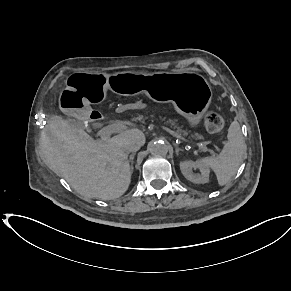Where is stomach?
Wrapping results in <instances>:
<instances>
[{
	"label": "stomach",
	"mask_w": 291,
	"mask_h": 291,
	"mask_svg": "<svg viewBox=\"0 0 291 291\" xmlns=\"http://www.w3.org/2000/svg\"><path fill=\"white\" fill-rule=\"evenodd\" d=\"M107 89L121 95L145 92L155 101L172 102L193 127L200 123L212 100L208 82L195 72L75 73L68 77L67 87L60 93L59 107L64 113L83 119L91 103L105 98Z\"/></svg>",
	"instance_id": "1"
}]
</instances>
